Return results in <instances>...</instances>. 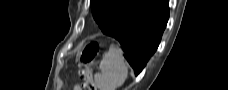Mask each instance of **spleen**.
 <instances>
[{
  "label": "spleen",
  "mask_w": 228,
  "mask_h": 90,
  "mask_svg": "<svg viewBox=\"0 0 228 90\" xmlns=\"http://www.w3.org/2000/svg\"><path fill=\"white\" fill-rule=\"evenodd\" d=\"M100 72L94 74L99 90H116L128 77V68L119 47L111 46L100 61Z\"/></svg>",
  "instance_id": "spleen-1"
}]
</instances>
